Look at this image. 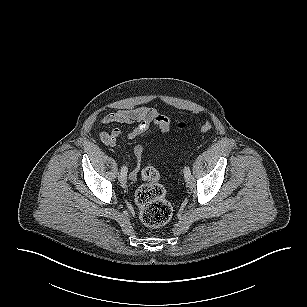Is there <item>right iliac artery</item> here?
<instances>
[{
	"instance_id": "obj_1",
	"label": "right iliac artery",
	"mask_w": 307,
	"mask_h": 307,
	"mask_svg": "<svg viewBox=\"0 0 307 307\" xmlns=\"http://www.w3.org/2000/svg\"><path fill=\"white\" fill-rule=\"evenodd\" d=\"M121 173L127 174V167L126 166H123L121 168Z\"/></svg>"
}]
</instances>
